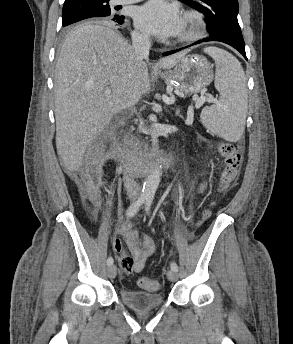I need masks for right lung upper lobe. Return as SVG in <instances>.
<instances>
[{"label":"right lung upper lobe","mask_w":293,"mask_h":344,"mask_svg":"<svg viewBox=\"0 0 293 344\" xmlns=\"http://www.w3.org/2000/svg\"><path fill=\"white\" fill-rule=\"evenodd\" d=\"M76 1H81V0H65L64 4L73 3V2H76Z\"/></svg>","instance_id":"obj_1"}]
</instances>
